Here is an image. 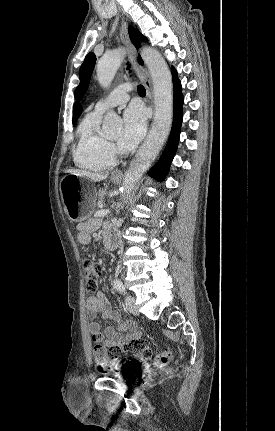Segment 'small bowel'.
Here are the masks:
<instances>
[{
    "instance_id": "obj_1",
    "label": "small bowel",
    "mask_w": 275,
    "mask_h": 431,
    "mask_svg": "<svg viewBox=\"0 0 275 431\" xmlns=\"http://www.w3.org/2000/svg\"><path fill=\"white\" fill-rule=\"evenodd\" d=\"M98 226L97 221L91 220L78 225V240L81 244L87 245L91 240L92 231ZM101 314L103 319L115 323V327H106L103 331L106 338V345L109 348L123 347L133 340H139L140 333L133 322H124L119 313L112 310L107 299L102 293L90 296L86 304V316L90 323L89 332L93 335L100 331L101 326L94 321L96 316ZM123 332V334H122Z\"/></svg>"
}]
</instances>
